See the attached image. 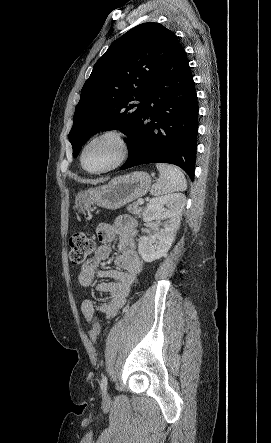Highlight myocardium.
I'll list each match as a JSON object with an SVG mask.
<instances>
[{"mask_svg":"<svg viewBox=\"0 0 271 443\" xmlns=\"http://www.w3.org/2000/svg\"><path fill=\"white\" fill-rule=\"evenodd\" d=\"M105 136H113L117 139L119 146H120V153H119L117 160L114 163H112L111 165H109L103 169H100V170L92 171V170L86 169L83 165V154H84L86 147L94 140L99 139L101 137H105ZM130 153H131V144H130V140L128 138L127 133L124 130H122L121 128L109 127V128H106V129H103V130L97 132L96 134L91 136L84 143V145L81 148L80 154H79V164H80V167L82 168V170L85 171L86 173L102 174V173H106L111 170H114V169L118 168L119 166H121L129 158Z\"/></svg>","mask_w":271,"mask_h":443,"instance_id":"f54148a6","label":"myocardium"}]
</instances>
